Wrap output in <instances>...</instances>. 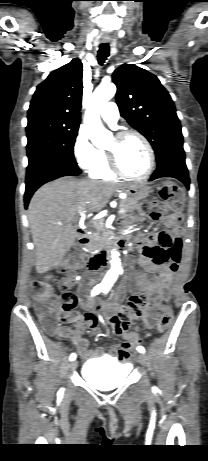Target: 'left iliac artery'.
I'll list each match as a JSON object with an SVG mask.
<instances>
[{"instance_id":"left-iliac-artery-1","label":"left iliac artery","mask_w":208,"mask_h":461,"mask_svg":"<svg viewBox=\"0 0 208 461\" xmlns=\"http://www.w3.org/2000/svg\"><path fill=\"white\" fill-rule=\"evenodd\" d=\"M110 287H105L103 290H104V293H107L109 291ZM137 350L140 352V353H144L145 352V349L144 347L142 346H138Z\"/></svg>"}]
</instances>
